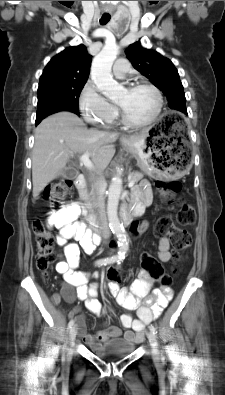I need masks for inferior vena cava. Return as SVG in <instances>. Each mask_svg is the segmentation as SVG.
<instances>
[{"mask_svg":"<svg viewBox=\"0 0 225 395\" xmlns=\"http://www.w3.org/2000/svg\"><path fill=\"white\" fill-rule=\"evenodd\" d=\"M103 186H104V180L101 178L96 183V189H97L96 205H97L98 212H99V220H100L101 230L103 231V234L106 238V234L108 232V227H107L106 218H105V214H104V197L102 194Z\"/></svg>","mask_w":225,"mask_h":395,"instance_id":"602c4592","label":"inferior vena cava"}]
</instances>
